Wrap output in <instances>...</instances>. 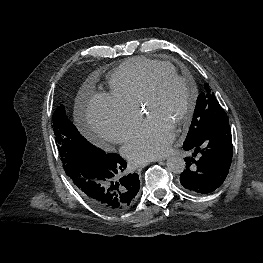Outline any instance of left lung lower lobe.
Wrapping results in <instances>:
<instances>
[{"mask_svg": "<svg viewBox=\"0 0 263 263\" xmlns=\"http://www.w3.org/2000/svg\"><path fill=\"white\" fill-rule=\"evenodd\" d=\"M185 151H193L186 157V169L180 175L181 185L194 194H208L221 186L228 174L233 154L231 128L228 121L209 128L198 139L183 143Z\"/></svg>", "mask_w": 263, "mask_h": 263, "instance_id": "0a47b994", "label": "left lung lower lobe"}]
</instances>
